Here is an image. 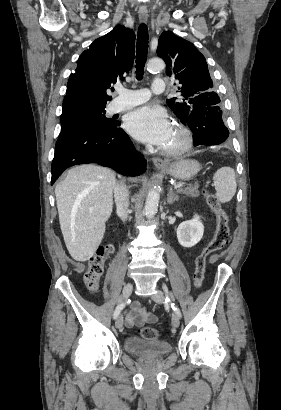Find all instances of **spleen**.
Returning a JSON list of instances; mask_svg holds the SVG:
<instances>
[{
  "instance_id": "1",
  "label": "spleen",
  "mask_w": 281,
  "mask_h": 410,
  "mask_svg": "<svg viewBox=\"0 0 281 410\" xmlns=\"http://www.w3.org/2000/svg\"><path fill=\"white\" fill-rule=\"evenodd\" d=\"M216 198L222 203L229 202L236 193V176L230 167H222L213 176Z\"/></svg>"
}]
</instances>
